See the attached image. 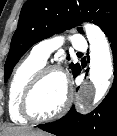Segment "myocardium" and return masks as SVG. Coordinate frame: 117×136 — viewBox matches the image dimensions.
Returning a JSON list of instances; mask_svg holds the SVG:
<instances>
[{
  "mask_svg": "<svg viewBox=\"0 0 117 136\" xmlns=\"http://www.w3.org/2000/svg\"><path fill=\"white\" fill-rule=\"evenodd\" d=\"M52 73L61 74L65 79L66 93H65L64 102L61 105V107L54 114L50 116H46V117L35 116L30 110V100H31L32 94L34 93L38 84L46 76ZM72 98H73L72 90L63 69L56 65H46L33 75V77L30 79V81L27 83L26 87L24 88L22 96H21L19 111L23 117H25L26 119L32 122H36V123L50 122V121L58 119L67 111V109L71 105Z\"/></svg>",
  "mask_w": 117,
  "mask_h": 136,
  "instance_id": "f54148a6",
  "label": "myocardium"
}]
</instances>
